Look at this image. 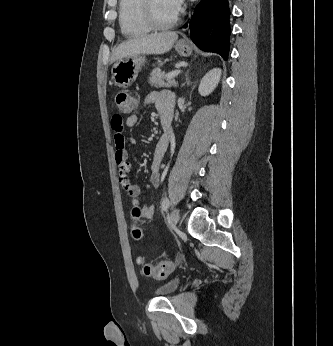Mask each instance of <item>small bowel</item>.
Masks as SVG:
<instances>
[{"label":"small bowel","mask_w":333,"mask_h":346,"mask_svg":"<svg viewBox=\"0 0 333 346\" xmlns=\"http://www.w3.org/2000/svg\"><path fill=\"white\" fill-rule=\"evenodd\" d=\"M151 104H155L157 111L161 116L167 117L171 122V117L174 110V98L170 92L161 91V92H150L147 93L140 101L139 105L141 107H147ZM138 121V116L136 114L130 115L126 121L124 122L120 117L115 115L112 118V128L115 132V160L119 168V181L121 187L131 198L132 207L138 208L140 210V216L145 219H152L155 215V207L153 205L144 206L141 205L139 201L140 195V187L136 184H133L128 178V173L130 171V163L128 162V152L125 149L126 142V128H133ZM129 141L134 144L135 140L130 138ZM169 145V137H161L155 148L153 153V160L151 163V184L158 188L160 185V164L162 159L164 158Z\"/></svg>","instance_id":"small-bowel-1"}]
</instances>
